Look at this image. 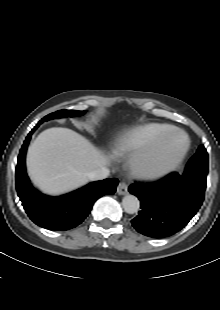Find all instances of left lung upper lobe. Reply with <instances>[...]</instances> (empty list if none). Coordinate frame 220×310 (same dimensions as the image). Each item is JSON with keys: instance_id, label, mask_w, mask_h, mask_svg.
I'll list each match as a JSON object with an SVG mask.
<instances>
[{"instance_id": "1", "label": "left lung upper lobe", "mask_w": 220, "mask_h": 310, "mask_svg": "<svg viewBox=\"0 0 220 310\" xmlns=\"http://www.w3.org/2000/svg\"><path fill=\"white\" fill-rule=\"evenodd\" d=\"M185 172L208 173V154L203 145L198 148L197 152L188 161Z\"/></svg>"}]
</instances>
